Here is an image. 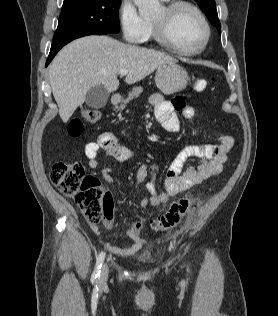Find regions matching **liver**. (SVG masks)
<instances>
[{"label":"liver","instance_id":"liver-1","mask_svg":"<svg viewBox=\"0 0 278 316\" xmlns=\"http://www.w3.org/2000/svg\"><path fill=\"white\" fill-rule=\"evenodd\" d=\"M170 61L175 60L162 52L107 36L91 35L69 43L49 68V82L62 121L69 120L92 87L103 85L109 93L116 91L121 70L129 71L125 82L134 84Z\"/></svg>","mask_w":278,"mask_h":316}]
</instances>
